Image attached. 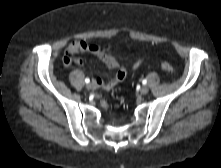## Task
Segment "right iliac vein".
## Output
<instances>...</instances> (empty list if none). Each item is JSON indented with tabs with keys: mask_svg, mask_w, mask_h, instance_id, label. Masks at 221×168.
Segmentation results:
<instances>
[{
	"mask_svg": "<svg viewBox=\"0 0 221 168\" xmlns=\"http://www.w3.org/2000/svg\"><path fill=\"white\" fill-rule=\"evenodd\" d=\"M86 88H87L88 90H92V89L94 88V84H93V83H88V84L86 85Z\"/></svg>",
	"mask_w": 221,
	"mask_h": 168,
	"instance_id": "obj_1",
	"label": "right iliac vein"
}]
</instances>
